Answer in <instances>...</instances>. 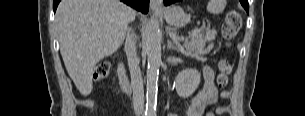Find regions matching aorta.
<instances>
[{
  "label": "aorta",
  "mask_w": 305,
  "mask_h": 116,
  "mask_svg": "<svg viewBox=\"0 0 305 116\" xmlns=\"http://www.w3.org/2000/svg\"><path fill=\"white\" fill-rule=\"evenodd\" d=\"M145 49L147 52V93L146 112L153 114L156 110V99L158 90V76L161 65V34L159 22L153 17L149 22L145 32Z\"/></svg>",
  "instance_id": "aorta-1"
}]
</instances>
